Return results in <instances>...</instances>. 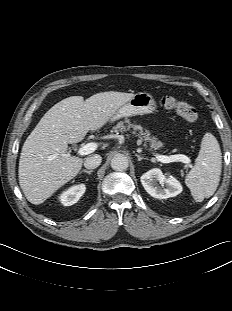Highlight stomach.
I'll use <instances>...</instances> for the list:
<instances>
[{
    "instance_id": "obj_1",
    "label": "stomach",
    "mask_w": 232,
    "mask_h": 311,
    "mask_svg": "<svg viewBox=\"0 0 232 311\" xmlns=\"http://www.w3.org/2000/svg\"><path fill=\"white\" fill-rule=\"evenodd\" d=\"M156 109L157 105L152 95L147 92H138L122 105L110 120L115 121L123 117L151 114L156 112Z\"/></svg>"
}]
</instances>
